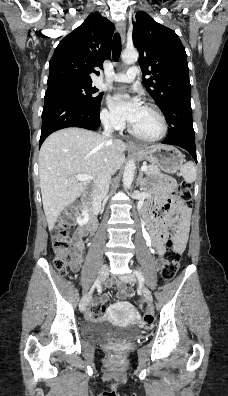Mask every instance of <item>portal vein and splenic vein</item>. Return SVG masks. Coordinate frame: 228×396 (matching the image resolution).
Listing matches in <instances>:
<instances>
[{
    "label": "portal vein and splenic vein",
    "mask_w": 228,
    "mask_h": 396,
    "mask_svg": "<svg viewBox=\"0 0 228 396\" xmlns=\"http://www.w3.org/2000/svg\"><path fill=\"white\" fill-rule=\"evenodd\" d=\"M146 170H147V166H146V165H143V166L141 167V171H146ZM75 178H76L77 180H79V181H90V180L93 179L92 176L87 175V174H78L77 176H75Z\"/></svg>",
    "instance_id": "obj_1"
}]
</instances>
